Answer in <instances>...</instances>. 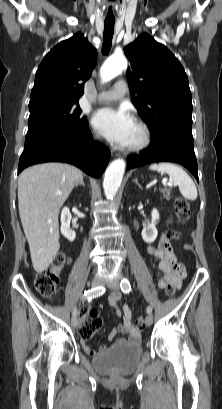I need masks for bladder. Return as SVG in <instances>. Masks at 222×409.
<instances>
[{
	"instance_id": "31cf9c89",
	"label": "bladder",
	"mask_w": 222,
	"mask_h": 409,
	"mask_svg": "<svg viewBox=\"0 0 222 409\" xmlns=\"http://www.w3.org/2000/svg\"><path fill=\"white\" fill-rule=\"evenodd\" d=\"M143 348L138 343L114 345L92 359L93 368L106 375L131 374L138 366Z\"/></svg>"
}]
</instances>
